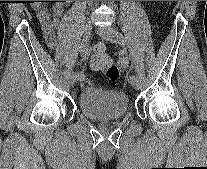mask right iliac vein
I'll return each instance as SVG.
<instances>
[{
    "instance_id": "1",
    "label": "right iliac vein",
    "mask_w": 207,
    "mask_h": 169,
    "mask_svg": "<svg viewBox=\"0 0 207 169\" xmlns=\"http://www.w3.org/2000/svg\"><path fill=\"white\" fill-rule=\"evenodd\" d=\"M83 40L86 42L89 40L90 36H91V32H92V25L90 22H87L84 26H83ZM77 77L75 76V74H71L69 76V83L71 86H74L77 82Z\"/></svg>"
}]
</instances>
